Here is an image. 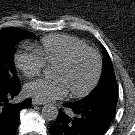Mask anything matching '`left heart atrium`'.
<instances>
[{
    "label": "left heart atrium",
    "instance_id": "obj_1",
    "mask_svg": "<svg viewBox=\"0 0 135 135\" xmlns=\"http://www.w3.org/2000/svg\"><path fill=\"white\" fill-rule=\"evenodd\" d=\"M26 92L42 102L63 98L68 88L60 78L39 79L26 86Z\"/></svg>",
    "mask_w": 135,
    "mask_h": 135
}]
</instances>
